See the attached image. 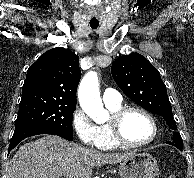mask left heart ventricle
I'll list each match as a JSON object with an SVG mask.
<instances>
[{
	"mask_svg": "<svg viewBox=\"0 0 194 178\" xmlns=\"http://www.w3.org/2000/svg\"><path fill=\"white\" fill-rule=\"evenodd\" d=\"M125 137L134 143L148 141L153 134V127L149 119L139 112H131L123 123Z\"/></svg>",
	"mask_w": 194,
	"mask_h": 178,
	"instance_id": "1",
	"label": "left heart ventricle"
}]
</instances>
